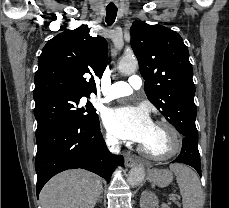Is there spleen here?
Returning <instances> with one entry per match:
<instances>
[{
    "instance_id": "obj_1",
    "label": "spleen",
    "mask_w": 229,
    "mask_h": 208,
    "mask_svg": "<svg viewBox=\"0 0 229 208\" xmlns=\"http://www.w3.org/2000/svg\"><path fill=\"white\" fill-rule=\"evenodd\" d=\"M170 170L176 176L183 198V208H203L204 196L197 174L183 164H170Z\"/></svg>"
}]
</instances>
